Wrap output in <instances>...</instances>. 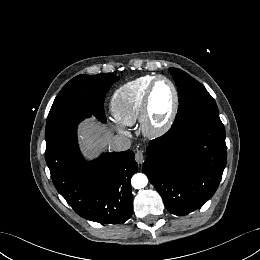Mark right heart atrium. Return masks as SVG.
I'll return each mask as SVG.
<instances>
[{
	"label": "right heart atrium",
	"mask_w": 260,
	"mask_h": 260,
	"mask_svg": "<svg viewBox=\"0 0 260 260\" xmlns=\"http://www.w3.org/2000/svg\"><path fill=\"white\" fill-rule=\"evenodd\" d=\"M117 127L118 129L121 131V132H126L124 126L120 125V124H117Z\"/></svg>",
	"instance_id": "right-heart-atrium-1"
}]
</instances>
